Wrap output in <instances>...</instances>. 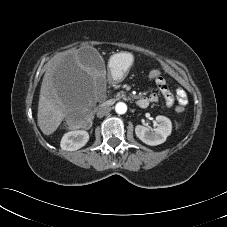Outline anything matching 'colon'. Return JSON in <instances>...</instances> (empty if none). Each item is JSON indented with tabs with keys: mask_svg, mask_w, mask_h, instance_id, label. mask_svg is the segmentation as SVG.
Listing matches in <instances>:
<instances>
[{
	"mask_svg": "<svg viewBox=\"0 0 227 227\" xmlns=\"http://www.w3.org/2000/svg\"><path fill=\"white\" fill-rule=\"evenodd\" d=\"M160 75H161L160 69L154 68V69H151V70L148 72V75H147V76H148V78H149L150 80H156ZM183 110H184L183 107H177V108H176V111H177L178 113L183 112ZM75 122H76L77 124H80L82 121L76 120Z\"/></svg>",
	"mask_w": 227,
	"mask_h": 227,
	"instance_id": "obj_1",
	"label": "colon"
}]
</instances>
